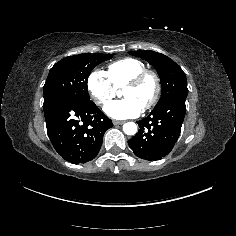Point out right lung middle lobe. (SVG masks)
Wrapping results in <instances>:
<instances>
[{
  "label": "right lung middle lobe",
  "mask_w": 236,
  "mask_h": 236,
  "mask_svg": "<svg viewBox=\"0 0 236 236\" xmlns=\"http://www.w3.org/2000/svg\"><path fill=\"white\" fill-rule=\"evenodd\" d=\"M113 54L83 53L65 57L49 71L43 87L44 103L56 97H67L77 102H90L87 80L95 66L109 60Z\"/></svg>",
  "instance_id": "1"
}]
</instances>
